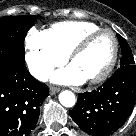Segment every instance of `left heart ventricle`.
Returning <instances> with one entry per match:
<instances>
[{
    "label": "left heart ventricle",
    "instance_id": "obj_1",
    "mask_svg": "<svg viewBox=\"0 0 136 136\" xmlns=\"http://www.w3.org/2000/svg\"><path fill=\"white\" fill-rule=\"evenodd\" d=\"M113 39L105 33L96 37L87 49L82 52L71 65L86 79L101 73L111 60Z\"/></svg>",
    "mask_w": 136,
    "mask_h": 136
}]
</instances>
